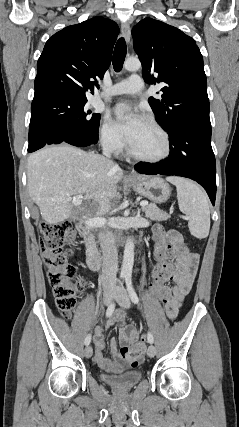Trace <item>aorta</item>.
I'll return each instance as SVG.
<instances>
[{"label": "aorta", "mask_w": 239, "mask_h": 427, "mask_svg": "<svg viewBox=\"0 0 239 427\" xmlns=\"http://www.w3.org/2000/svg\"><path fill=\"white\" fill-rule=\"evenodd\" d=\"M123 67L128 71H137L141 68V62L137 58L125 60ZM134 264V243L128 238L124 247L123 262L121 267V276L130 277Z\"/></svg>", "instance_id": "aorta-1"}]
</instances>
